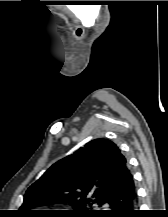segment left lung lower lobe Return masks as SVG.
Returning a JSON list of instances; mask_svg holds the SVG:
<instances>
[{
    "instance_id": "left-lung-lower-lobe-1",
    "label": "left lung lower lobe",
    "mask_w": 168,
    "mask_h": 217,
    "mask_svg": "<svg viewBox=\"0 0 168 217\" xmlns=\"http://www.w3.org/2000/svg\"><path fill=\"white\" fill-rule=\"evenodd\" d=\"M104 203L109 205L110 210L100 211V216L111 217H139L137 194L133 177L117 192L110 195Z\"/></svg>"
}]
</instances>
